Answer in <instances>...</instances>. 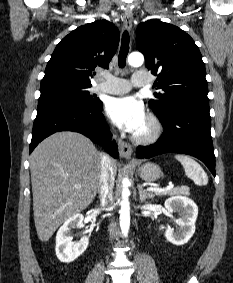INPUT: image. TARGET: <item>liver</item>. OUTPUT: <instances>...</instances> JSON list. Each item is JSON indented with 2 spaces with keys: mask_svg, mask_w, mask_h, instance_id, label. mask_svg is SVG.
<instances>
[{
  "mask_svg": "<svg viewBox=\"0 0 233 283\" xmlns=\"http://www.w3.org/2000/svg\"><path fill=\"white\" fill-rule=\"evenodd\" d=\"M101 158L87 137L71 131L57 132L34 149L30 156L33 211L42 242L91 204L100 186ZM112 166L115 176V160Z\"/></svg>",
  "mask_w": 233,
  "mask_h": 283,
  "instance_id": "obj_1",
  "label": "liver"
}]
</instances>
